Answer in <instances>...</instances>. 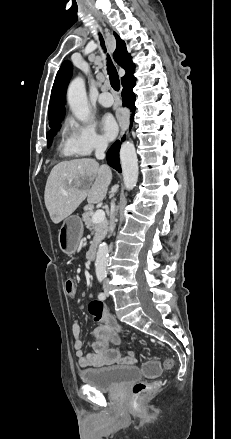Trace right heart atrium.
I'll use <instances>...</instances> for the list:
<instances>
[{"label": "right heart atrium", "instance_id": "obj_1", "mask_svg": "<svg viewBox=\"0 0 231 439\" xmlns=\"http://www.w3.org/2000/svg\"><path fill=\"white\" fill-rule=\"evenodd\" d=\"M68 125L70 147L76 155L88 156L107 147V141L97 133L92 123L70 120Z\"/></svg>", "mask_w": 231, "mask_h": 439}]
</instances>
